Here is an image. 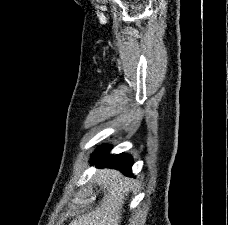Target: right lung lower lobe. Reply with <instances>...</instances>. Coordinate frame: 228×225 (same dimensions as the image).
<instances>
[{"label":"right lung lower lobe","mask_w":228,"mask_h":225,"mask_svg":"<svg viewBox=\"0 0 228 225\" xmlns=\"http://www.w3.org/2000/svg\"><path fill=\"white\" fill-rule=\"evenodd\" d=\"M109 146L100 147L95 154L92 155L91 162L99 167L115 168L123 174L132 176L131 166L132 158L127 154L109 155Z\"/></svg>","instance_id":"obj_1"}]
</instances>
